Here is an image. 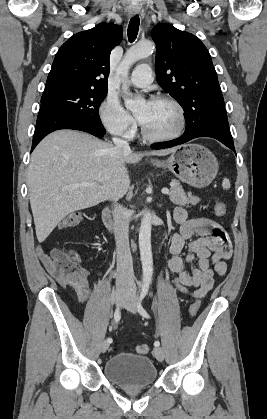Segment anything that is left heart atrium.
Returning <instances> with one entry per match:
<instances>
[{"mask_svg": "<svg viewBox=\"0 0 267 419\" xmlns=\"http://www.w3.org/2000/svg\"><path fill=\"white\" fill-rule=\"evenodd\" d=\"M138 120L140 121V123L143 121L144 115L143 114H138L137 115Z\"/></svg>", "mask_w": 267, "mask_h": 419, "instance_id": "1", "label": "left heart atrium"}]
</instances>
